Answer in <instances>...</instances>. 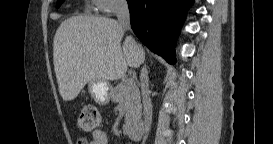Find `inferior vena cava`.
<instances>
[{
	"label": "inferior vena cava",
	"instance_id": "602c4592",
	"mask_svg": "<svg viewBox=\"0 0 273 144\" xmlns=\"http://www.w3.org/2000/svg\"><path fill=\"white\" fill-rule=\"evenodd\" d=\"M115 13L118 19L119 25L125 29L130 30V14L129 7L126 0H116L115 1ZM138 54L140 56L141 62L144 61V51L141 46L137 45ZM141 81V91H142V103H143V133L145 136L148 135L151 123H152V104L150 99V92L148 87V72L146 66L141 70L140 74Z\"/></svg>",
	"mask_w": 273,
	"mask_h": 144
}]
</instances>
